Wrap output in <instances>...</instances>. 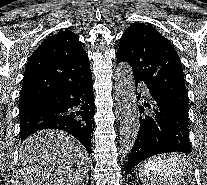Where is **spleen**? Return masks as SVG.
<instances>
[{"mask_svg":"<svg viewBox=\"0 0 207 185\" xmlns=\"http://www.w3.org/2000/svg\"><path fill=\"white\" fill-rule=\"evenodd\" d=\"M181 151L154 153V158H144L134 171L140 172L141 183L145 185H190L194 183L196 172L190 170V158H180Z\"/></svg>","mask_w":207,"mask_h":185,"instance_id":"spleen-1","label":"spleen"}]
</instances>
